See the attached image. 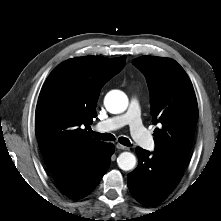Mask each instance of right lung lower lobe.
<instances>
[{
	"label": "right lung lower lobe",
	"instance_id": "98d812e1",
	"mask_svg": "<svg viewBox=\"0 0 221 221\" xmlns=\"http://www.w3.org/2000/svg\"><path fill=\"white\" fill-rule=\"evenodd\" d=\"M113 151L114 146L107 143L103 154L97 160L52 175L60 191L72 199L83 198L92 192L108 170Z\"/></svg>",
	"mask_w": 221,
	"mask_h": 221
}]
</instances>
